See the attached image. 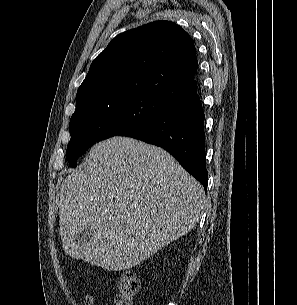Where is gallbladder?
<instances>
[{"instance_id": "bac80fb5", "label": "gallbladder", "mask_w": 297, "mask_h": 305, "mask_svg": "<svg viewBox=\"0 0 297 305\" xmlns=\"http://www.w3.org/2000/svg\"><path fill=\"white\" fill-rule=\"evenodd\" d=\"M94 236H95V232L88 228L81 232H78L73 237V241L77 246L80 247L82 245H86Z\"/></svg>"}]
</instances>
